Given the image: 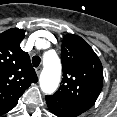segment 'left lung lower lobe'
Returning a JSON list of instances; mask_svg holds the SVG:
<instances>
[{
    "instance_id": "0a47b994",
    "label": "left lung lower lobe",
    "mask_w": 117,
    "mask_h": 117,
    "mask_svg": "<svg viewBox=\"0 0 117 117\" xmlns=\"http://www.w3.org/2000/svg\"><path fill=\"white\" fill-rule=\"evenodd\" d=\"M46 102L49 110L58 117H77L82 114V112L73 106L50 96H46Z\"/></svg>"
}]
</instances>
